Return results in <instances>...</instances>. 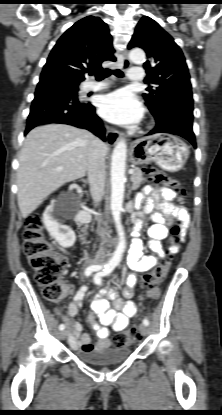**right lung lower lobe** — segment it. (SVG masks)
Segmentation results:
<instances>
[{
  "label": "right lung lower lobe",
  "mask_w": 222,
  "mask_h": 415,
  "mask_svg": "<svg viewBox=\"0 0 222 415\" xmlns=\"http://www.w3.org/2000/svg\"><path fill=\"white\" fill-rule=\"evenodd\" d=\"M74 84L72 80L55 73L40 76L25 135L41 124L62 123L87 129L106 141L103 123L95 114L94 106L79 102Z\"/></svg>",
  "instance_id": "obj_1"
}]
</instances>
